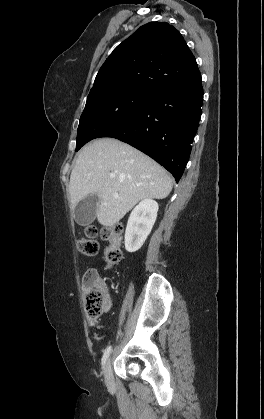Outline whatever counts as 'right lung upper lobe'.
<instances>
[{"mask_svg": "<svg viewBox=\"0 0 264 419\" xmlns=\"http://www.w3.org/2000/svg\"><path fill=\"white\" fill-rule=\"evenodd\" d=\"M199 81L195 57L179 31L166 22H150L113 50L90 92L109 86H135L155 93Z\"/></svg>", "mask_w": 264, "mask_h": 419, "instance_id": "cb5924a9", "label": "right lung upper lobe"}]
</instances>
